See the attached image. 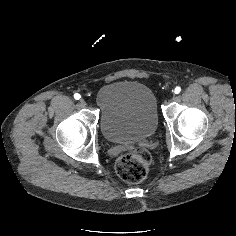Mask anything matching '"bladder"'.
I'll return each mask as SVG.
<instances>
[{
  "mask_svg": "<svg viewBox=\"0 0 236 236\" xmlns=\"http://www.w3.org/2000/svg\"><path fill=\"white\" fill-rule=\"evenodd\" d=\"M105 139L114 144L150 138L159 123L158 102L151 88L135 81H116L95 95Z\"/></svg>",
  "mask_w": 236,
  "mask_h": 236,
  "instance_id": "1",
  "label": "bladder"
}]
</instances>
